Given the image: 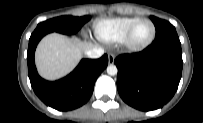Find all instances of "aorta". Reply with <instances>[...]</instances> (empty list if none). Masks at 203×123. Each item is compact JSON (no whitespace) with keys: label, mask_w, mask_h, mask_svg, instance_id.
<instances>
[{"label":"aorta","mask_w":203,"mask_h":123,"mask_svg":"<svg viewBox=\"0 0 203 123\" xmlns=\"http://www.w3.org/2000/svg\"><path fill=\"white\" fill-rule=\"evenodd\" d=\"M117 72H118V69H117V67L115 66V65H109L108 67H107V73L109 74V75H111V76H114V75H116L117 74Z\"/></svg>","instance_id":"obj_1"}]
</instances>
